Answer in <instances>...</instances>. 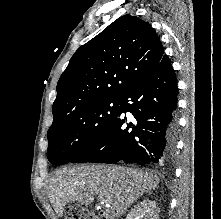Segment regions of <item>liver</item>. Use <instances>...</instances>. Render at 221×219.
Returning a JSON list of instances; mask_svg holds the SVG:
<instances>
[{
	"instance_id": "obj_1",
	"label": "liver",
	"mask_w": 221,
	"mask_h": 219,
	"mask_svg": "<svg viewBox=\"0 0 221 219\" xmlns=\"http://www.w3.org/2000/svg\"><path fill=\"white\" fill-rule=\"evenodd\" d=\"M158 184L159 177L146 171L115 165H82L56 170L47 189L60 217L66 204L77 201L89 205L96 196L109 205L113 217H120Z\"/></svg>"
}]
</instances>
